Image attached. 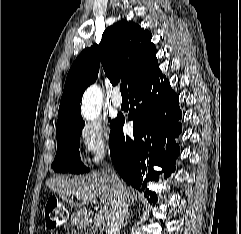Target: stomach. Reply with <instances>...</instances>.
<instances>
[{
	"instance_id": "obj_1",
	"label": "stomach",
	"mask_w": 241,
	"mask_h": 234,
	"mask_svg": "<svg viewBox=\"0 0 241 234\" xmlns=\"http://www.w3.org/2000/svg\"><path fill=\"white\" fill-rule=\"evenodd\" d=\"M75 221H76V222H79V220H78V218H77V217H75Z\"/></svg>"
}]
</instances>
